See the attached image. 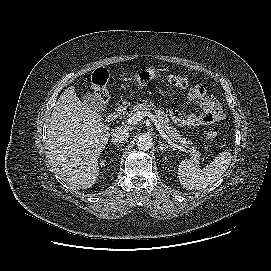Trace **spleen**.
<instances>
[{
    "mask_svg": "<svg viewBox=\"0 0 271 271\" xmlns=\"http://www.w3.org/2000/svg\"><path fill=\"white\" fill-rule=\"evenodd\" d=\"M231 158L230 152H221L203 169L192 160H182L178 166L179 181L187 190L203 189L212 185L225 173L231 163Z\"/></svg>",
    "mask_w": 271,
    "mask_h": 271,
    "instance_id": "spleen-1",
    "label": "spleen"
}]
</instances>
